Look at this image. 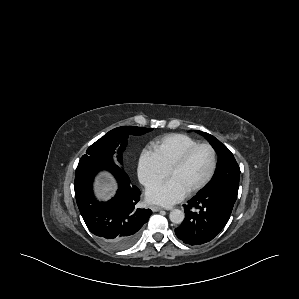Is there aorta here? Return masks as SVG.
Listing matches in <instances>:
<instances>
[{
    "label": "aorta",
    "instance_id": "obj_1",
    "mask_svg": "<svg viewBox=\"0 0 299 299\" xmlns=\"http://www.w3.org/2000/svg\"><path fill=\"white\" fill-rule=\"evenodd\" d=\"M184 212L179 209H173L169 214V219L174 224H181L184 220Z\"/></svg>",
    "mask_w": 299,
    "mask_h": 299
}]
</instances>
